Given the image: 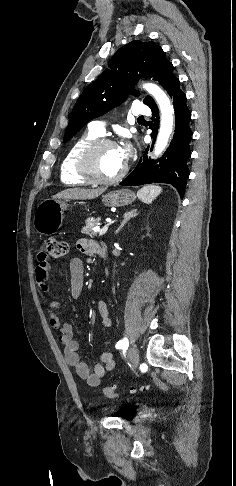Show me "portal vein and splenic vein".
Returning <instances> with one entry per match:
<instances>
[{
	"mask_svg": "<svg viewBox=\"0 0 236 486\" xmlns=\"http://www.w3.org/2000/svg\"><path fill=\"white\" fill-rule=\"evenodd\" d=\"M108 227H109V225L107 224L104 227H102L101 229L100 228L95 229V231H98L99 232V235L102 236V235H104L107 232Z\"/></svg>",
	"mask_w": 236,
	"mask_h": 486,
	"instance_id": "18ae733b",
	"label": "portal vein and splenic vein"
}]
</instances>
